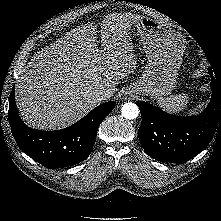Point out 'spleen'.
<instances>
[{"instance_id": "spleen-1", "label": "spleen", "mask_w": 221, "mask_h": 221, "mask_svg": "<svg viewBox=\"0 0 221 221\" xmlns=\"http://www.w3.org/2000/svg\"><path fill=\"white\" fill-rule=\"evenodd\" d=\"M188 104V96L185 94L173 95L158 100V105L165 111L173 114L180 113Z\"/></svg>"}]
</instances>
